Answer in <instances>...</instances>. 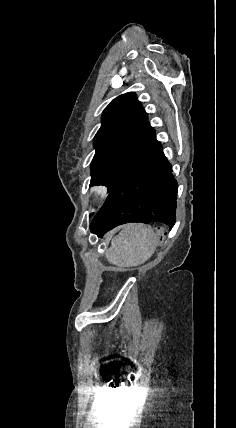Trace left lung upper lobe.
Returning a JSON list of instances; mask_svg holds the SVG:
<instances>
[{
    "label": "left lung upper lobe",
    "instance_id": "left-lung-upper-lobe-1",
    "mask_svg": "<svg viewBox=\"0 0 236 428\" xmlns=\"http://www.w3.org/2000/svg\"><path fill=\"white\" fill-rule=\"evenodd\" d=\"M147 114L134 93L115 98L104 110L94 138L90 186L105 185L110 192L152 133Z\"/></svg>",
    "mask_w": 236,
    "mask_h": 428
}]
</instances>
